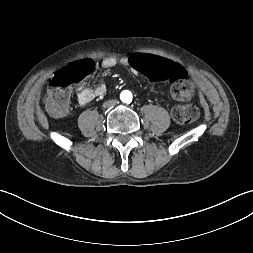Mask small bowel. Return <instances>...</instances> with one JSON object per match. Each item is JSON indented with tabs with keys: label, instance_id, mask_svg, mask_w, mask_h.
Wrapping results in <instances>:
<instances>
[{
	"label": "small bowel",
	"instance_id": "1",
	"mask_svg": "<svg viewBox=\"0 0 253 253\" xmlns=\"http://www.w3.org/2000/svg\"><path fill=\"white\" fill-rule=\"evenodd\" d=\"M133 56V55H132ZM132 56L114 57L108 56L102 59L101 65L103 68H112L117 65H125L129 67V60ZM106 94V86L99 84L94 88L82 87L77 91V100L80 105H86L95 98L102 97Z\"/></svg>",
	"mask_w": 253,
	"mask_h": 253
}]
</instances>
